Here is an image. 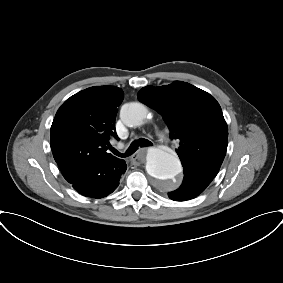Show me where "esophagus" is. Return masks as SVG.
Listing matches in <instances>:
<instances>
[{
    "mask_svg": "<svg viewBox=\"0 0 283 283\" xmlns=\"http://www.w3.org/2000/svg\"><path fill=\"white\" fill-rule=\"evenodd\" d=\"M146 148L139 149L133 156L132 161H138V162H144L145 160V154H146Z\"/></svg>",
    "mask_w": 283,
    "mask_h": 283,
    "instance_id": "1",
    "label": "esophagus"
}]
</instances>
